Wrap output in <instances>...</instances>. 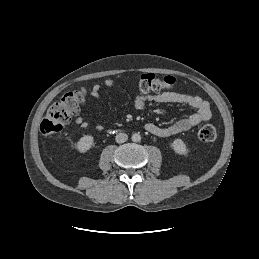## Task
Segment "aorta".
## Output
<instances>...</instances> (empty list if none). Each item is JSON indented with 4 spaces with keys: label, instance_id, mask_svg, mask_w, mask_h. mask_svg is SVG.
Returning <instances> with one entry per match:
<instances>
[{
    "label": "aorta",
    "instance_id": "1",
    "mask_svg": "<svg viewBox=\"0 0 259 259\" xmlns=\"http://www.w3.org/2000/svg\"><path fill=\"white\" fill-rule=\"evenodd\" d=\"M131 138L133 142H139L141 140V136L139 133H134Z\"/></svg>",
    "mask_w": 259,
    "mask_h": 259
}]
</instances>
